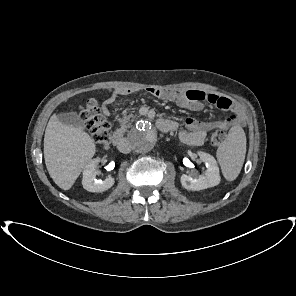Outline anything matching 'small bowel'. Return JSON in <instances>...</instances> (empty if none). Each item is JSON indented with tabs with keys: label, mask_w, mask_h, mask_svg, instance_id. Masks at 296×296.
I'll list each match as a JSON object with an SVG mask.
<instances>
[{
	"label": "small bowel",
	"mask_w": 296,
	"mask_h": 296,
	"mask_svg": "<svg viewBox=\"0 0 296 296\" xmlns=\"http://www.w3.org/2000/svg\"><path fill=\"white\" fill-rule=\"evenodd\" d=\"M150 92L166 101H172L179 107L190 110L200 111L207 104L213 105L221 110L230 111L231 115L220 120L204 122L195 118H187L185 126L180 130L179 137L182 142L192 146L202 145L207 133L215 128L227 129L235 125H242L245 116L241 107L229 98L218 96L201 90H170V89H149ZM133 91L128 88L115 90L103 102L102 110L105 114L109 113V105L120 96H126Z\"/></svg>",
	"instance_id": "obj_1"
}]
</instances>
